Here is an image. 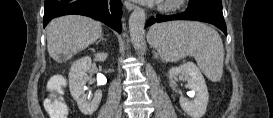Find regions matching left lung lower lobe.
I'll return each instance as SVG.
<instances>
[{
  "instance_id": "1",
  "label": "left lung lower lobe",
  "mask_w": 273,
  "mask_h": 118,
  "mask_svg": "<svg viewBox=\"0 0 273 118\" xmlns=\"http://www.w3.org/2000/svg\"><path fill=\"white\" fill-rule=\"evenodd\" d=\"M172 20H196L201 22H206L215 25L220 30L227 35L226 24L223 18V14L213 11L211 9L202 7H189L185 12L174 14V15H157L156 17H151L146 26H150L153 23H160Z\"/></svg>"
}]
</instances>
